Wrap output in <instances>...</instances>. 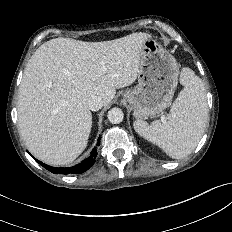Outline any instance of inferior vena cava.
<instances>
[{
  "mask_svg": "<svg viewBox=\"0 0 232 232\" xmlns=\"http://www.w3.org/2000/svg\"><path fill=\"white\" fill-rule=\"evenodd\" d=\"M103 106V100L100 96H92L89 100H88V107L90 110L92 111H97L99 109H101Z\"/></svg>",
  "mask_w": 232,
  "mask_h": 232,
  "instance_id": "1",
  "label": "inferior vena cava"
}]
</instances>
